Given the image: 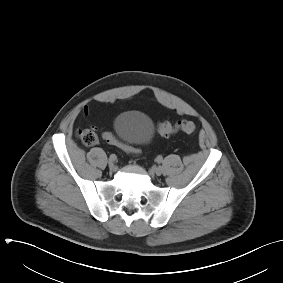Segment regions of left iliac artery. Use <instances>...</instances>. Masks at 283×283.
Returning a JSON list of instances; mask_svg holds the SVG:
<instances>
[{
  "mask_svg": "<svg viewBox=\"0 0 283 283\" xmlns=\"http://www.w3.org/2000/svg\"><path fill=\"white\" fill-rule=\"evenodd\" d=\"M162 159H163L162 156H158V157H157V162H158V163H161V162H162Z\"/></svg>",
  "mask_w": 283,
  "mask_h": 283,
  "instance_id": "1",
  "label": "left iliac artery"
}]
</instances>
